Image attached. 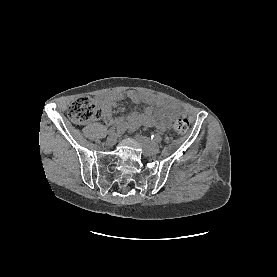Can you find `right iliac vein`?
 <instances>
[{
	"label": "right iliac vein",
	"mask_w": 277,
	"mask_h": 277,
	"mask_svg": "<svg viewBox=\"0 0 277 277\" xmlns=\"http://www.w3.org/2000/svg\"><path fill=\"white\" fill-rule=\"evenodd\" d=\"M117 139H118V134L117 133H112V134H109L105 144L106 146H113L116 142H117Z\"/></svg>",
	"instance_id": "1"
}]
</instances>
